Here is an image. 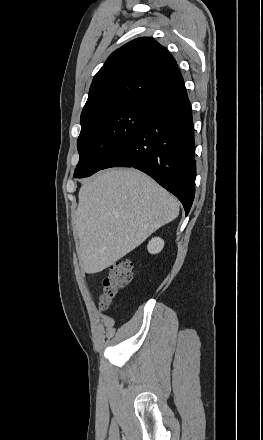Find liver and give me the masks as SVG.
Listing matches in <instances>:
<instances>
[{"mask_svg": "<svg viewBox=\"0 0 263 440\" xmlns=\"http://www.w3.org/2000/svg\"><path fill=\"white\" fill-rule=\"evenodd\" d=\"M75 217L77 249L85 273L103 271L173 221L179 203L135 169H110L87 180Z\"/></svg>", "mask_w": 263, "mask_h": 440, "instance_id": "liver-1", "label": "liver"}]
</instances>
